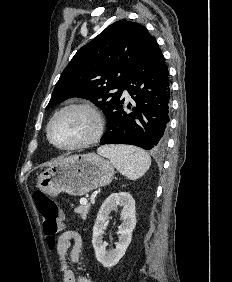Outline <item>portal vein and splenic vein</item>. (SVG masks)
<instances>
[{
  "mask_svg": "<svg viewBox=\"0 0 232 282\" xmlns=\"http://www.w3.org/2000/svg\"><path fill=\"white\" fill-rule=\"evenodd\" d=\"M87 203H88V201H87L86 198H81V199H80V204H82V205H87Z\"/></svg>",
  "mask_w": 232,
  "mask_h": 282,
  "instance_id": "portal-vein-and-splenic-vein-1",
  "label": "portal vein and splenic vein"
}]
</instances>
